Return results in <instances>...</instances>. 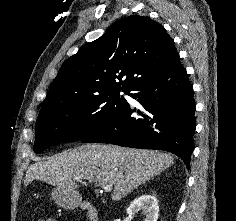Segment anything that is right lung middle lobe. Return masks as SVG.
Wrapping results in <instances>:
<instances>
[{
    "instance_id": "right-lung-middle-lobe-1",
    "label": "right lung middle lobe",
    "mask_w": 236,
    "mask_h": 221,
    "mask_svg": "<svg viewBox=\"0 0 236 221\" xmlns=\"http://www.w3.org/2000/svg\"><path fill=\"white\" fill-rule=\"evenodd\" d=\"M120 91L81 97L66 104L41 109L36 124L35 151L77 139L95 132L125 105ZM129 95V90H122Z\"/></svg>"
}]
</instances>
